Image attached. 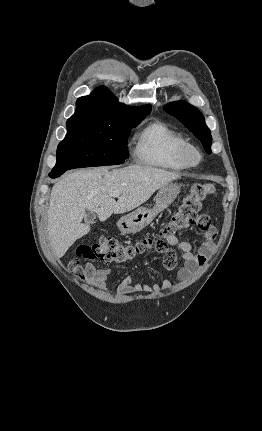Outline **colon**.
<instances>
[{"instance_id": "colon-1", "label": "colon", "mask_w": 262, "mask_h": 431, "mask_svg": "<svg viewBox=\"0 0 262 431\" xmlns=\"http://www.w3.org/2000/svg\"><path fill=\"white\" fill-rule=\"evenodd\" d=\"M214 193L215 188L211 184H193L170 220L159 232L135 243H120L111 238H99L97 241L82 244L71 257L68 268L78 276H82L88 270L87 264H89H82V259L124 263L150 249L160 253L171 252L166 238L195 223L204 201Z\"/></svg>"}]
</instances>
